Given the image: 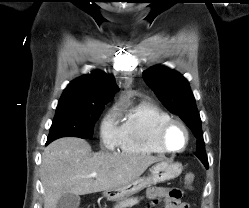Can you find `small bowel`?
<instances>
[{"instance_id":"1","label":"small bowel","mask_w":249,"mask_h":208,"mask_svg":"<svg viewBox=\"0 0 249 208\" xmlns=\"http://www.w3.org/2000/svg\"><path fill=\"white\" fill-rule=\"evenodd\" d=\"M147 194L153 204L164 200L165 208H189L187 203L181 201V191L177 188L153 186L148 189Z\"/></svg>"}]
</instances>
